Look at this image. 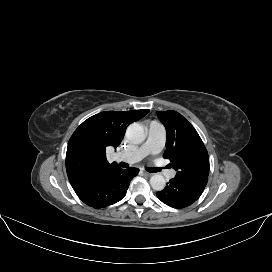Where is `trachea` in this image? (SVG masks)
<instances>
[{
	"instance_id": "3493384b",
	"label": "trachea",
	"mask_w": 272,
	"mask_h": 272,
	"mask_svg": "<svg viewBox=\"0 0 272 272\" xmlns=\"http://www.w3.org/2000/svg\"><path fill=\"white\" fill-rule=\"evenodd\" d=\"M127 164H124L123 167H127ZM146 170L150 173H156V172H160L161 168H157V167H147Z\"/></svg>"
}]
</instances>
